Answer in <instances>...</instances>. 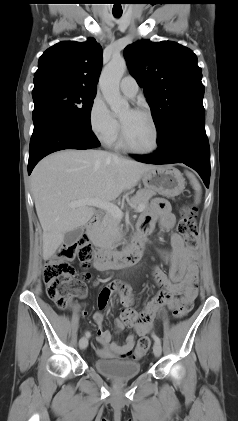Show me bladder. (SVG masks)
I'll list each match as a JSON object with an SVG mask.
<instances>
[{"instance_id": "31cf9c89", "label": "bladder", "mask_w": 238, "mask_h": 421, "mask_svg": "<svg viewBox=\"0 0 238 421\" xmlns=\"http://www.w3.org/2000/svg\"><path fill=\"white\" fill-rule=\"evenodd\" d=\"M94 366L102 375L118 381L135 378L141 372L140 362L134 360L98 358Z\"/></svg>"}]
</instances>
